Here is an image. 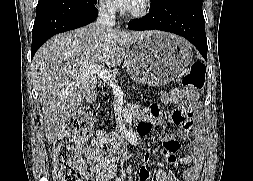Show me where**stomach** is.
<instances>
[{"label": "stomach", "mask_w": 253, "mask_h": 181, "mask_svg": "<svg viewBox=\"0 0 253 181\" xmlns=\"http://www.w3.org/2000/svg\"><path fill=\"white\" fill-rule=\"evenodd\" d=\"M192 57L190 44L181 37L152 31L133 46L126 67L138 83L163 86L177 77Z\"/></svg>", "instance_id": "1"}]
</instances>
